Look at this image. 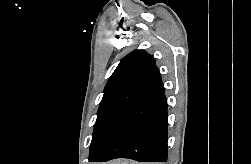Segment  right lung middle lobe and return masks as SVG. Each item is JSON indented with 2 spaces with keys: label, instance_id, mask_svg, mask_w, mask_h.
<instances>
[{
  "label": "right lung middle lobe",
  "instance_id": "dd1d6c3e",
  "mask_svg": "<svg viewBox=\"0 0 251 164\" xmlns=\"http://www.w3.org/2000/svg\"><path fill=\"white\" fill-rule=\"evenodd\" d=\"M141 93V90L126 88L104 94L97 112L89 157L106 136L115 120L139 98Z\"/></svg>",
  "mask_w": 251,
  "mask_h": 164
}]
</instances>
